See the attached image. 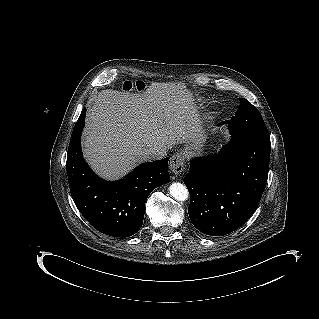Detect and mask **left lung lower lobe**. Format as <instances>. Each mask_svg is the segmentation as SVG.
<instances>
[{
    "mask_svg": "<svg viewBox=\"0 0 319 319\" xmlns=\"http://www.w3.org/2000/svg\"><path fill=\"white\" fill-rule=\"evenodd\" d=\"M270 151L269 136L233 135L218 154L190 161L184 183L191 197L188 213L199 231L223 236L251 217L267 183Z\"/></svg>",
    "mask_w": 319,
    "mask_h": 319,
    "instance_id": "left-lung-lower-lobe-1",
    "label": "left lung lower lobe"
}]
</instances>
